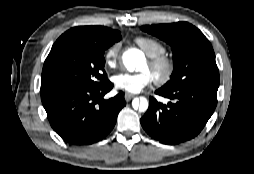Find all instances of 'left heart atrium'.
<instances>
[{
	"instance_id": "obj_1",
	"label": "left heart atrium",
	"mask_w": 254,
	"mask_h": 174,
	"mask_svg": "<svg viewBox=\"0 0 254 174\" xmlns=\"http://www.w3.org/2000/svg\"><path fill=\"white\" fill-rule=\"evenodd\" d=\"M153 81L154 78L148 71L141 73H120L113 77L115 87L129 93H139L151 85Z\"/></svg>"
}]
</instances>
